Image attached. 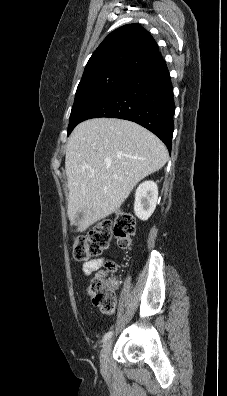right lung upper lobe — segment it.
Instances as JSON below:
<instances>
[{
	"label": "right lung upper lobe",
	"mask_w": 227,
	"mask_h": 396,
	"mask_svg": "<svg viewBox=\"0 0 227 396\" xmlns=\"http://www.w3.org/2000/svg\"><path fill=\"white\" fill-rule=\"evenodd\" d=\"M158 53L155 40L140 24L124 25L111 32L94 51L83 77L109 68L134 70Z\"/></svg>",
	"instance_id": "1"
}]
</instances>
